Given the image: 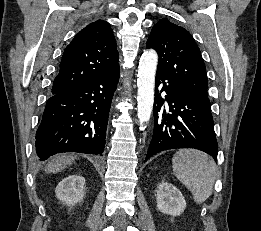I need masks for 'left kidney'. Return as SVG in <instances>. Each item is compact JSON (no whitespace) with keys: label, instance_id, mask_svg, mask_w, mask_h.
Returning a JSON list of instances; mask_svg holds the SVG:
<instances>
[{"label":"left kidney","instance_id":"1","mask_svg":"<svg viewBox=\"0 0 261 231\" xmlns=\"http://www.w3.org/2000/svg\"><path fill=\"white\" fill-rule=\"evenodd\" d=\"M156 200L158 210L171 216L180 215L186 207V201L180 190L168 182L158 184Z\"/></svg>","mask_w":261,"mask_h":231}]
</instances>
